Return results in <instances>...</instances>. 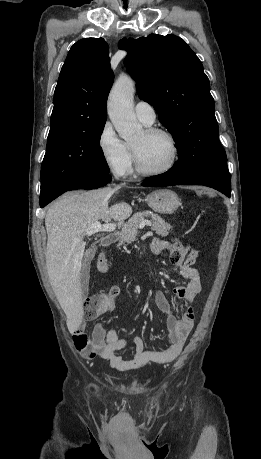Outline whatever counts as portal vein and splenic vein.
<instances>
[{
    "mask_svg": "<svg viewBox=\"0 0 261 459\" xmlns=\"http://www.w3.org/2000/svg\"><path fill=\"white\" fill-rule=\"evenodd\" d=\"M145 225L150 226L151 223L148 222V221H143L139 225V228H143ZM115 229H116V224H114V223L101 224L100 222H95V223L91 224L87 228L85 235L86 236H91V235L96 234L98 232H111V231H114ZM75 241L76 242H80L79 239H76Z\"/></svg>",
    "mask_w": 261,
    "mask_h": 459,
    "instance_id": "portal-vein-and-splenic-vein-1",
    "label": "portal vein and splenic vein"
}]
</instances>
